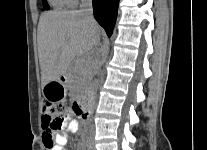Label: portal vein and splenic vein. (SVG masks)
<instances>
[{
    "label": "portal vein and splenic vein",
    "instance_id": "portal-vein-and-splenic-vein-1",
    "mask_svg": "<svg viewBox=\"0 0 207 150\" xmlns=\"http://www.w3.org/2000/svg\"><path fill=\"white\" fill-rule=\"evenodd\" d=\"M82 63H86L87 62V59L83 58L80 60Z\"/></svg>",
    "mask_w": 207,
    "mask_h": 150
}]
</instances>
